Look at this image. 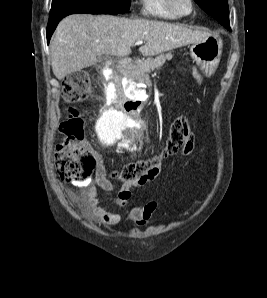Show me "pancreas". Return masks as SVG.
Masks as SVG:
<instances>
[{"label":"pancreas","instance_id":"pancreas-1","mask_svg":"<svg viewBox=\"0 0 267 298\" xmlns=\"http://www.w3.org/2000/svg\"><path fill=\"white\" fill-rule=\"evenodd\" d=\"M171 54H161L157 56L156 58H148L146 60H139L135 63L134 66H132L129 76H127L130 79L140 81L146 77H148V74L155 70L156 68H160L167 58H170Z\"/></svg>","mask_w":267,"mask_h":298}]
</instances>
